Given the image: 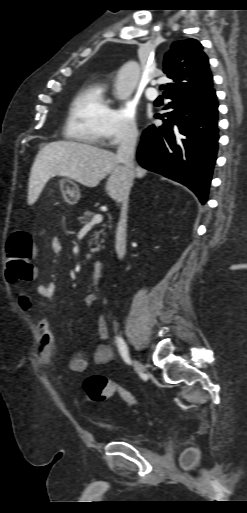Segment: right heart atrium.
<instances>
[{
	"mask_svg": "<svg viewBox=\"0 0 247 513\" xmlns=\"http://www.w3.org/2000/svg\"><path fill=\"white\" fill-rule=\"evenodd\" d=\"M138 134L134 106L126 102L112 108L105 127L104 143L115 147L121 143L133 141Z\"/></svg>",
	"mask_w": 247,
	"mask_h": 513,
	"instance_id": "1",
	"label": "right heart atrium"
}]
</instances>
